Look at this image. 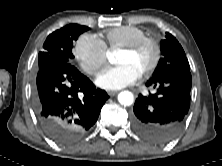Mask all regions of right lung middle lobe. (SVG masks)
Returning a JSON list of instances; mask_svg holds the SVG:
<instances>
[{"instance_id":"obj_1","label":"right lung middle lobe","mask_w":222,"mask_h":166,"mask_svg":"<svg viewBox=\"0 0 222 166\" xmlns=\"http://www.w3.org/2000/svg\"><path fill=\"white\" fill-rule=\"evenodd\" d=\"M89 30L88 27L70 24L50 34L44 42L43 49L39 52V69L55 63H71L73 59V43L78 36Z\"/></svg>"}]
</instances>
